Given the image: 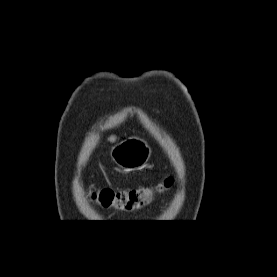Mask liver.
I'll return each instance as SVG.
<instances>
[{"label": "liver", "instance_id": "6515ba94", "mask_svg": "<svg viewBox=\"0 0 277 277\" xmlns=\"http://www.w3.org/2000/svg\"><path fill=\"white\" fill-rule=\"evenodd\" d=\"M109 140H110V142H115L116 137H115V136H111V137L109 138Z\"/></svg>", "mask_w": 277, "mask_h": 277}]
</instances>
